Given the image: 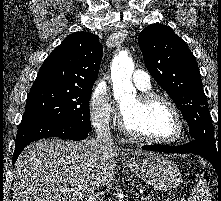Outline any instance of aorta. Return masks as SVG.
<instances>
[{
    "label": "aorta",
    "instance_id": "aorta-1",
    "mask_svg": "<svg viewBox=\"0 0 221 201\" xmlns=\"http://www.w3.org/2000/svg\"><path fill=\"white\" fill-rule=\"evenodd\" d=\"M134 64L129 58L127 51H121L114 59L111 67V78L113 81L114 97L122 98L133 90L131 76Z\"/></svg>",
    "mask_w": 221,
    "mask_h": 201
}]
</instances>
